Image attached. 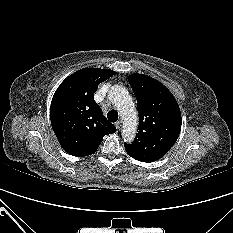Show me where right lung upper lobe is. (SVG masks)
Wrapping results in <instances>:
<instances>
[{
	"instance_id": "right-lung-upper-lobe-1",
	"label": "right lung upper lobe",
	"mask_w": 233,
	"mask_h": 233,
	"mask_svg": "<svg viewBox=\"0 0 233 233\" xmlns=\"http://www.w3.org/2000/svg\"><path fill=\"white\" fill-rule=\"evenodd\" d=\"M115 73L110 69L83 68L67 77L54 93L50 107L52 128L70 155H91L105 135L116 132L93 98L98 85Z\"/></svg>"
}]
</instances>
